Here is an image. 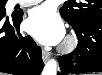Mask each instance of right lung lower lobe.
<instances>
[{
    "mask_svg": "<svg viewBox=\"0 0 102 75\" xmlns=\"http://www.w3.org/2000/svg\"><path fill=\"white\" fill-rule=\"evenodd\" d=\"M22 14L6 20L0 14V72L13 75H40L44 67L41 48L30 36L20 33Z\"/></svg>",
    "mask_w": 102,
    "mask_h": 75,
    "instance_id": "1",
    "label": "right lung lower lobe"
}]
</instances>
